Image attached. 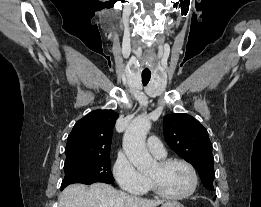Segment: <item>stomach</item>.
<instances>
[{
	"instance_id": "0dacf381",
	"label": "stomach",
	"mask_w": 261,
	"mask_h": 207,
	"mask_svg": "<svg viewBox=\"0 0 261 207\" xmlns=\"http://www.w3.org/2000/svg\"><path fill=\"white\" fill-rule=\"evenodd\" d=\"M161 207H184L181 203L177 201H166L162 203Z\"/></svg>"
}]
</instances>
